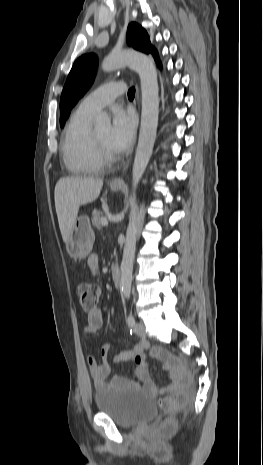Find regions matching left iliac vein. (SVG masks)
Returning a JSON list of instances; mask_svg holds the SVG:
<instances>
[{"instance_id":"obj_1","label":"left iliac vein","mask_w":263,"mask_h":465,"mask_svg":"<svg viewBox=\"0 0 263 465\" xmlns=\"http://www.w3.org/2000/svg\"><path fill=\"white\" fill-rule=\"evenodd\" d=\"M134 330L139 337L141 338L146 337L145 326L143 325V323L141 322L136 323L134 326Z\"/></svg>"}]
</instances>
